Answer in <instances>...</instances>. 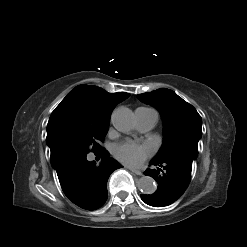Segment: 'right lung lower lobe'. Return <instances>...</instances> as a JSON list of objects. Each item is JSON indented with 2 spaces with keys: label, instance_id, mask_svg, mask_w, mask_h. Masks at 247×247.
Instances as JSON below:
<instances>
[{
  "label": "right lung lower lobe",
  "instance_id": "1",
  "mask_svg": "<svg viewBox=\"0 0 247 247\" xmlns=\"http://www.w3.org/2000/svg\"><path fill=\"white\" fill-rule=\"evenodd\" d=\"M100 154L102 163L89 162L87 154L66 150H51V165L56 170L65 195L86 210H95L107 200V180L110 174L122 166L105 150Z\"/></svg>",
  "mask_w": 247,
  "mask_h": 247
}]
</instances>
